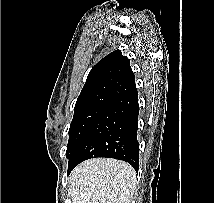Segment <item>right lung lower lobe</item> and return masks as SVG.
<instances>
[{
    "instance_id": "98d812e1",
    "label": "right lung lower lobe",
    "mask_w": 214,
    "mask_h": 203,
    "mask_svg": "<svg viewBox=\"0 0 214 203\" xmlns=\"http://www.w3.org/2000/svg\"><path fill=\"white\" fill-rule=\"evenodd\" d=\"M138 114L136 88L115 98L93 122L71 153L68 158V174L80 162L93 157L123 160L138 171Z\"/></svg>"
}]
</instances>
